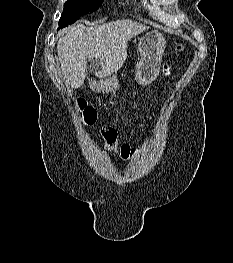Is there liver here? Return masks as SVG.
<instances>
[{"label":"liver","mask_w":233,"mask_h":263,"mask_svg":"<svg viewBox=\"0 0 233 263\" xmlns=\"http://www.w3.org/2000/svg\"><path fill=\"white\" fill-rule=\"evenodd\" d=\"M148 29L129 19L86 27L77 24L65 30L57 43L61 70L67 86L79 88L86 78L87 59L94 60V71L107 77L120 69L127 58L128 41Z\"/></svg>","instance_id":"obj_1"}]
</instances>
